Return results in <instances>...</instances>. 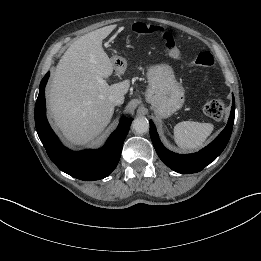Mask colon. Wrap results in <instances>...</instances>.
Here are the masks:
<instances>
[{
    "mask_svg": "<svg viewBox=\"0 0 261 261\" xmlns=\"http://www.w3.org/2000/svg\"><path fill=\"white\" fill-rule=\"evenodd\" d=\"M137 34L148 35L159 33L163 39L164 46L168 54L176 60H180V51L176 45L175 36L172 32L167 31L159 26L149 25L145 23H135L132 27ZM192 65L206 69H212L215 65V59L210 51H201L196 58L191 62ZM203 112L206 116L220 120L224 116L225 104L219 99L208 101L204 107Z\"/></svg>",
    "mask_w": 261,
    "mask_h": 261,
    "instance_id": "obj_1",
    "label": "colon"
}]
</instances>
